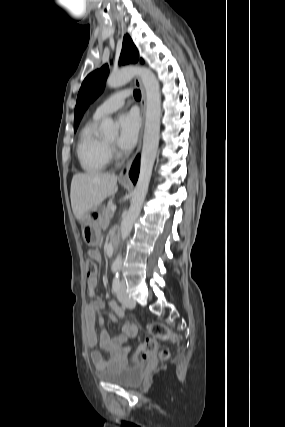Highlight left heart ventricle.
Listing matches in <instances>:
<instances>
[{
	"mask_svg": "<svg viewBox=\"0 0 285 427\" xmlns=\"http://www.w3.org/2000/svg\"><path fill=\"white\" fill-rule=\"evenodd\" d=\"M114 140H115V138H109V139H107V141L110 142V143H113Z\"/></svg>",
	"mask_w": 285,
	"mask_h": 427,
	"instance_id": "b2bd125f",
	"label": "left heart ventricle"
}]
</instances>
